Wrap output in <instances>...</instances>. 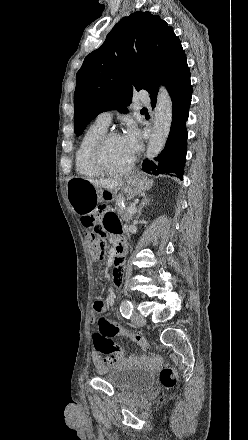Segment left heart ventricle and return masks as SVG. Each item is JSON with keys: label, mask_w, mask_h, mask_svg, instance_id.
<instances>
[{"label": "left heart ventricle", "mask_w": 248, "mask_h": 440, "mask_svg": "<svg viewBox=\"0 0 248 440\" xmlns=\"http://www.w3.org/2000/svg\"><path fill=\"white\" fill-rule=\"evenodd\" d=\"M133 156L126 149L122 137L111 138L105 148L104 160L112 170L123 169L130 164Z\"/></svg>", "instance_id": "b2bd125f"}]
</instances>
